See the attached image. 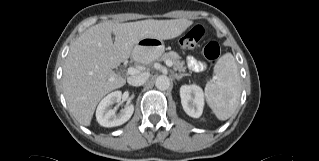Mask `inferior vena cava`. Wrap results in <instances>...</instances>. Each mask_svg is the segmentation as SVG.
I'll list each match as a JSON object with an SVG mask.
<instances>
[{
  "label": "inferior vena cava",
  "mask_w": 319,
  "mask_h": 161,
  "mask_svg": "<svg viewBox=\"0 0 319 161\" xmlns=\"http://www.w3.org/2000/svg\"><path fill=\"white\" fill-rule=\"evenodd\" d=\"M148 78L149 73L144 72L128 77L127 82L132 86H141L148 80Z\"/></svg>",
  "instance_id": "602c4592"
}]
</instances>
